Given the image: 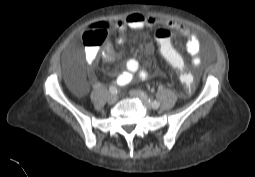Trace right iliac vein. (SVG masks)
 <instances>
[{"label":"right iliac vein","instance_id":"63e3f726","mask_svg":"<svg viewBox=\"0 0 255 177\" xmlns=\"http://www.w3.org/2000/svg\"><path fill=\"white\" fill-rule=\"evenodd\" d=\"M117 100H118V96L116 94H112L108 98V104L113 105L117 102Z\"/></svg>","mask_w":255,"mask_h":177}]
</instances>
